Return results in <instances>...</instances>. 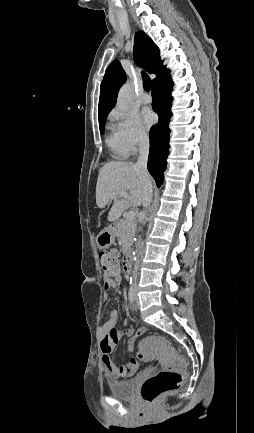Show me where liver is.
I'll use <instances>...</instances> for the list:
<instances>
[{
	"instance_id": "1",
	"label": "liver",
	"mask_w": 254,
	"mask_h": 433,
	"mask_svg": "<svg viewBox=\"0 0 254 433\" xmlns=\"http://www.w3.org/2000/svg\"><path fill=\"white\" fill-rule=\"evenodd\" d=\"M150 181L151 178L149 177ZM145 176L132 162H109L100 170L96 185V204L104 208L110 200L114 199L108 214V221L114 222L130 206L141 205L144 196ZM125 192L129 194L126 199L113 193Z\"/></svg>"
}]
</instances>
